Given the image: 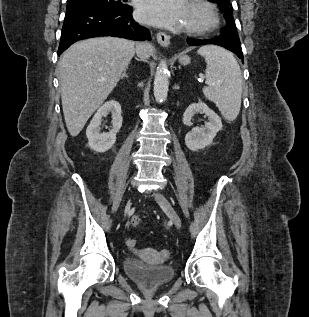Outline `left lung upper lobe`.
<instances>
[{"label":"left lung upper lobe","instance_id":"1","mask_svg":"<svg viewBox=\"0 0 309 317\" xmlns=\"http://www.w3.org/2000/svg\"><path fill=\"white\" fill-rule=\"evenodd\" d=\"M208 1L218 4V6L220 7V10L222 11V13H224V17L226 19V26L221 31V34L230 35L236 39H239L237 28H236L234 19L232 17L233 7H232V4L230 3V0H208Z\"/></svg>","mask_w":309,"mask_h":317}]
</instances>
